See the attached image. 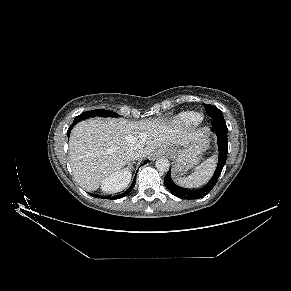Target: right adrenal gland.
Returning <instances> with one entry per match:
<instances>
[{"mask_svg": "<svg viewBox=\"0 0 291 291\" xmlns=\"http://www.w3.org/2000/svg\"><path fill=\"white\" fill-rule=\"evenodd\" d=\"M132 167V162H129L128 163V168H131Z\"/></svg>", "mask_w": 291, "mask_h": 291, "instance_id": "obj_1", "label": "right adrenal gland"}]
</instances>
